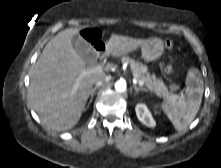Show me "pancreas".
Masks as SVG:
<instances>
[{
    "mask_svg": "<svg viewBox=\"0 0 221 168\" xmlns=\"http://www.w3.org/2000/svg\"><path fill=\"white\" fill-rule=\"evenodd\" d=\"M122 63H129L131 71L135 79L142 80L147 87V89L159 97L166 98L172 95V91H169L163 80L157 78L154 74L150 75L147 71V66L131 59L128 56L121 58Z\"/></svg>",
    "mask_w": 221,
    "mask_h": 168,
    "instance_id": "cf45deb5",
    "label": "pancreas"
}]
</instances>
